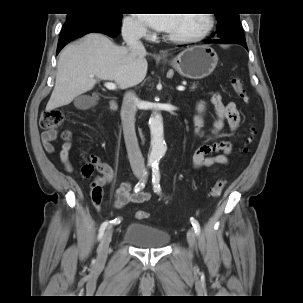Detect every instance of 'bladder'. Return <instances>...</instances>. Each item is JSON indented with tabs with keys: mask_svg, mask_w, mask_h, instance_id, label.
Segmentation results:
<instances>
[{
	"mask_svg": "<svg viewBox=\"0 0 303 303\" xmlns=\"http://www.w3.org/2000/svg\"><path fill=\"white\" fill-rule=\"evenodd\" d=\"M124 239L139 248L156 249L165 246L170 241V236L167 232L146 224L130 223Z\"/></svg>",
	"mask_w": 303,
	"mask_h": 303,
	"instance_id": "obj_1",
	"label": "bladder"
}]
</instances>
